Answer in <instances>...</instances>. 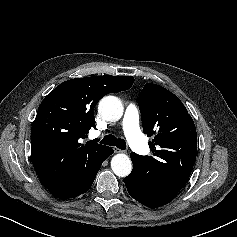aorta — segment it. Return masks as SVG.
<instances>
[{
	"mask_svg": "<svg viewBox=\"0 0 237 237\" xmlns=\"http://www.w3.org/2000/svg\"><path fill=\"white\" fill-rule=\"evenodd\" d=\"M98 111L104 119L117 121L123 114V105L115 96L103 97L98 105ZM111 168L119 177H126L132 170L130 158L125 154H116L111 160Z\"/></svg>",
	"mask_w": 237,
	"mask_h": 237,
	"instance_id": "aorta-1",
	"label": "aorta"
}]
</instances>
